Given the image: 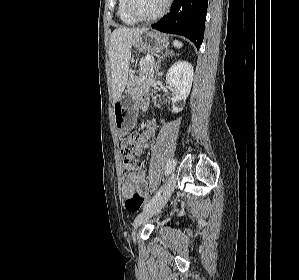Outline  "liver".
Segmentation results:
<instances>
[{
    "label": "liver",
    "mask_w": 299,
    "mask_h": 280,
    "mask_svg": "<svg viewBox=\"0 0 299 280\" xmlns=\"http://www.w3.org/2000/svg\"><path fill=\"white\" fill-rule=\"evenodd\" d=\"M147 30V28L120 27L115 29L110 36L109 59L112 76L113 104L121 97L128 81L133 42Z\"/></svg>",
    "instance_id": "6515ba94"
}]
</instances>
